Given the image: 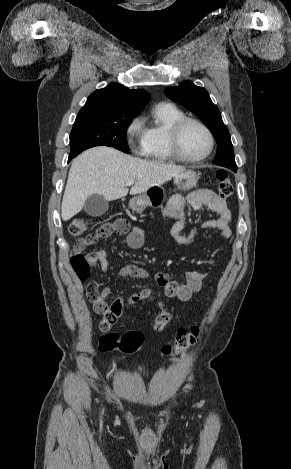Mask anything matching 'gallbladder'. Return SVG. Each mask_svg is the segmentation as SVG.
I'll return each instance as SVG.
<instances>
[{"instance_id": "bac80fb5", "label": "gallbladder", "mask_w": 291, "mask_h": 469, "mask_svg": "<svg viewBox=\"0 0 291 469\" xmlns=\"http://www.w3.org/2000/svg\"><path fill=\"white\" fill-rule=\"evenodd\" d=\"M108 207V200H106L102 195L93 194L86 199L83 210L90 216L99 217L106 213Z\"/></svg>"}]
</instances>
